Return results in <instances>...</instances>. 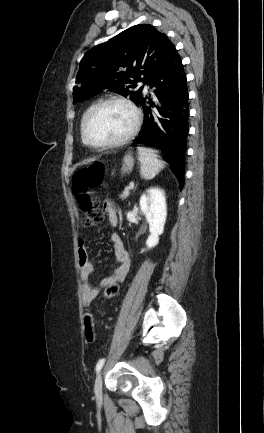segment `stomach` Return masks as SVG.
<instances>
[{"instance_id": "0dacf381", "label": "stomach", "mask_w": 264, "mask_h": 433, "mask_svg": "<svg viewBox=\"0 0 264 433\" xmlns=\"http://www.w3.org/2000/svg\"><path fill=\"white\" fill-rule=\"evenodd\" d=\"M134 166V157L131 152H127L123 158V164L121 168L122 173H130Z\"/></svg>"}]
</instances>
